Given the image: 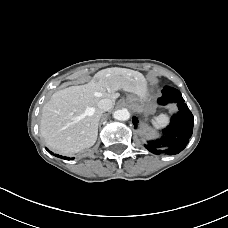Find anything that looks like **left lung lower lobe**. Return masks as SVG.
I'll list each match as a JSON object with an SVG mask.
<instances>
[{
    "label": "left lung lower lobe",
    "instance_id": "obj_1",
    "mask_svg": "<svg viewBox=\"0 0 228 228\" xmlns=\"http://www.w3.org/2000/svg\"><path fill=\"white\" fill-rule=\"evenodd\" d=\"M162 93L163 96L157 100L158 103L161 105L172 102L177 103L179 112L172 117L170 125L164 129V136L161 139L149 141L144 146L154 154L162 152H166L169 155L178 154L189 142L188 139L193 132L194 117L188 106L184 103L180 91L165 86ZM132 119L134 126L137 127L138 119L135 116ZM159 147H166L167 149L164 151L158 150Z\"/></svg>",
    "mask_w": 228,
    "mask_h": 228
}]
</instances>
